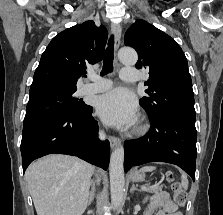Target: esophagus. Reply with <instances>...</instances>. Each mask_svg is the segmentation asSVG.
Instances as JSON below:
<instances>
[{"label":"esophagus","instance_id":"1","mask_svg":"<svg viewBox=\"0 0 223 215\" xmlns=\"http://www.w3.org/2000/svg\"><path fill=\"white\" fill-rule=\"evenodd\" d=\"M111 31L114 35V39H115V50L117 51V49L119 48V45L121 43V34H122V30L119 24L117 23H112L111 24ZM115 64L118 66V60L115 59ZM109 142H110V146L111 148H114L115 146H117L120 143L119 138L115 137V136H110L109 137Z\"/></svg>","mask_w":223,"mask_h":215}]
</instances>
